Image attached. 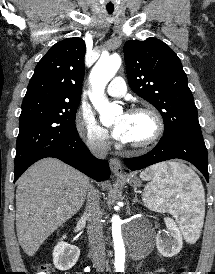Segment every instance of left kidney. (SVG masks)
<instances>
[{
    "label": "left kidney",
    "instance_id": "left-kidney-1",
    "mask_svg": "<svg viewBox=\"0 0 215 274\" xmlns=\"http://www.w3.org/2000/svg\"><path fill=\"white\" fill-rule=\"evenodd\" d=\"M167 230L156 236V246L159 253L164 257L177 255L183 247V238L180 230L173 219H164Z\"/></svg>",
    "mask_w": 215,
    "mask_h": 274
}]
</instances>
